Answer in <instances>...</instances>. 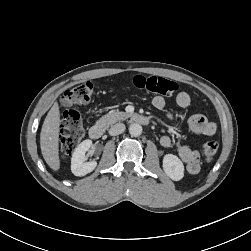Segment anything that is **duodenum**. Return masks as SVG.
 I'll use <instances>...</instances> for the list:
<instances>
[{
	"mask_svg": "<svg viewBox=\"0 0 251 251\" xmlns=\"http://www.w3.org/2000/svg\"><path fill=\"white\" fill-rule=\"evenodd\" d=\"M130 120L134 123H138L141 125L149 124V119L146 116L140 114H133L130 117ZM103 134H104V128L102 125H93L89 129V136L93 140L100 139L103 136Z\"/></svg>",
	"mask_w": 251,
	"mask_h": 251,
	"instance_id": "1",
	"label": "duodenum"
}]
</instances>
